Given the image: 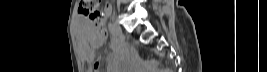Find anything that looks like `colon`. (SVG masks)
Returning a JSON list of instances; mask_svg holds the SVG:
<instances>
[{
	"label": "colon",
	"instance_id": "obj_1",
	"mask_svg": "<svg viewBox=\"0 0 267 72\" xmlns=\"http://www.w3.org/2000/svg\"><path fill=\"white\" fill-rule=\"evenodd\" d=\"M102 0H80V9L83 13L89 15L91 25L94 28H99L100 32L98 33L99 36L102 35L101 30V23H100V4L102 3ZM94 71H99L98 63H95L93 65ZM167 69L161 70V72H167Z\"/></svg>",
	"mask_w": 267,
	"mask_h": 72
}]
</instances>
